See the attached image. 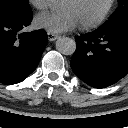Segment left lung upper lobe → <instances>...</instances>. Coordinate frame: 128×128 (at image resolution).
<instances>
[{
	"label": "left lung upper lobe",
	"instance_id": "1",
	"mask_svg": "<svg viewBox=\"0 0 128 128\" xmlns=\"http://www.w3.org/2000/svg\"><path fill=\"white\" fill-rule=\"evenodd\" d=\"M124 20H128V0H118V7L115 12L99 28H105Z\"/></svg>",
	"mask_w": 128,
	"mask_h": 128
}]
</instances>
